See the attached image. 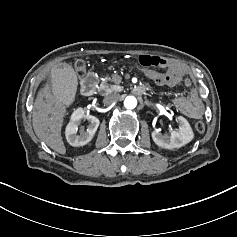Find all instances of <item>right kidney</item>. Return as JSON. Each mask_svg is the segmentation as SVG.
Returning <instances> with one entry per match:
<instances>
[{
    "instance_id": "obj_1",
    "label": "right kidney",
    "mask_w": 237,
    "mask_h": 237,
    "mask_svg": "<svg viewBox=\"0 0 237 237\" xmlns=\"http://www.w3.org/2000/svg\"><path fill=\"white\" fill-rule=\"evenodd\" d=\"M83 118H87L89 125L87 129L81 126ZM99 119L95 116H86L83 108H77L71 115L70 122L68 123L65 131L67 142L71 146H83L91 141L97 128L99 126ZM80 128V129H79ZM79 130V134L78 133Z\"/></svg>"
}]
</instances>
